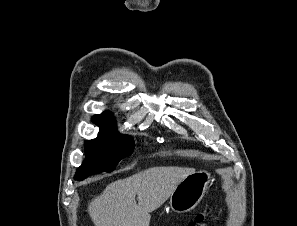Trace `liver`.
Segmentation results:
<instances>
[{
    "instance_id": "1",
    "label": "liver",
    "mask_w": 297,
    "mask_h": 226,
    "mask_svg": "<svg viewBox=\"0 0 297 226\" xmlns=\"http://www.w3.org/2000/svg\"><path fill=\"white\" fill-rule=\"evenodd\" d=\"M194 172V168L186 167H152L112 182L90 203L89 215L95 226H149L150 213Z\"/></svg>"
}]
</instances>
